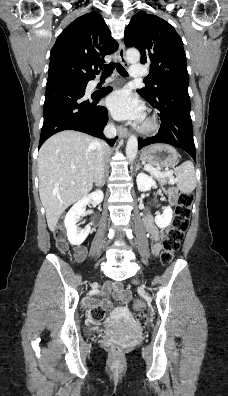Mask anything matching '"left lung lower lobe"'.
<instances>
[{"instance_id": "obj_1", "label": "left lung lower lobe", "mask_w": 228, "mask_h": 396, "mask_svg": "<svg viewBox=\"0 0 228 396\" xmlns=\"http://www.w3.org/2000/svg\"><path fill=\"white\" fill-rule=\"evenodd\" d=\"M146 99L159 111L161 125L155 136L138 138L139 149L153 143H167L183 149L196 161L188 88L169 87L156 99Z\"/></svg>"}]
</instances>
